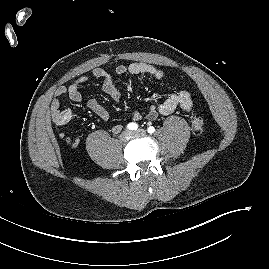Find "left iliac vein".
<instances>
[{
    "label": "left iliac vein",
    "mask_w": 269,
    "mask_h": 269,
    "mask_svg": "<svg viewBox=\"0 0 269 269\" xmlns=\"http://www.w3.org/2000/svg\"><path fill=\"white\" fill-rule=\"evenodd\" d=\"M133 137H140V136H145L146 135V131L143 129H139L137 131L132 132Z\"/></svg>",
    "instance_id": "4c4485c4"
}]
</instances>
